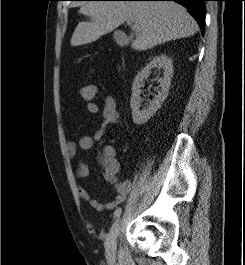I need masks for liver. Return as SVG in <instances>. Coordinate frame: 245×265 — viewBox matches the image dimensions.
Wrapping results in <instances>:
<instances>
[{"mask_svg": "<svg viewBox=\"0 0 245 265\" xmlns=\"http://www.w3.org/2000/svg\"><path fill=\"white\" fill-rule=\"evenodd\" d=\"M79 13L91 21L77 25L71 38L73 47L92 43L125 21L133 23L129 40L138 51L190 37L198 31L187 10L172 1H90L82 4Z\"/></svg>", "mask_w": 245, "mask_h": 265, "instance_id": "1", "label": "liver"}]
</instances>
